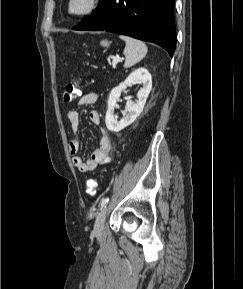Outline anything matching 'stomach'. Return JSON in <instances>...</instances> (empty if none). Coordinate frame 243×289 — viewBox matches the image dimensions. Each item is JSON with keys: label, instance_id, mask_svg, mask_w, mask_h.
<instances>
[{"label": "stomach", "instance_id": "0dacf381", "mask_svg": "<svg viewBox=\"0 0 243 289\" xmlns=\"http://www.w3.org/2000/svg\"><path fill=\"white\" fill-rule=\"evenodd\" d=\"M101 45L104 47H108L109 46V42L107 40H103L101 41Z\"/></svg>", "mask_w": 243, "mask_h": 289}]
</instances>
